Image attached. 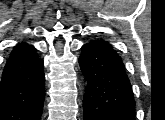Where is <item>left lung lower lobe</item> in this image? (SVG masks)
I'll list each match as a JSON object with an SVG mask.
<instances>
[{"instance_id": "1", "label": "left lung lower lobe", "mask_w": 165, "mask_h": 120, "mask_svg": "<svg viewBox=\"0 0 165 120\" xmlns=\"http://www.w3.org/2000/svg\"><path fill=\"white\" fill-rule=\"evenodd\" d=\"M79 64L88 81L84 120H135V100L125 66L102 39L82 46Z\"/></svg>"}]
</instances>
